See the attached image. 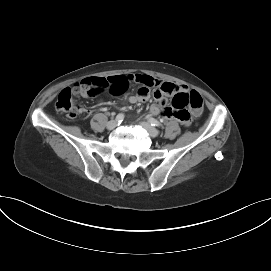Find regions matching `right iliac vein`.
I'll return each mask as SVG.
<instances>
[{"label":"right iliac vein","mask_w":271,"mask_h":271,"mask_svg":"<svg viewBox=\"0 0 271 271\" xmlns=\"http://www.w3.org/2000/svg\"><path fill=\"white\" fill-rule=\"evenodd\" d=\"M117 126V122L115 120H111L107 123V129L113 130Z\"/></svg>","instance_id":"63e3f726"}]
</instances>
